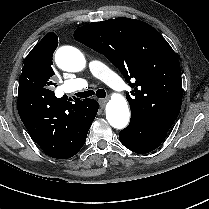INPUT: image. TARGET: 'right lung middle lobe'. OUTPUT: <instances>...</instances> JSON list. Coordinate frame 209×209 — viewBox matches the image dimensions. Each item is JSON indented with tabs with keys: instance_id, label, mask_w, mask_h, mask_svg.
<instances>
[{
	"instance_id": "dd1d6c3e",
	"label": "right lung middle lobe",
	"mask_w": 209,
	"mask_h": 209,
	"mask_svg": "<svg viewBox=\"0 0 209 209\" xmlns=\"http://www.w3.org/2000/svg\"><path fill=\"white\" fill-rule=\"evenodd\" d=\"M52 44L36 45L24 60L19 86H32L41 93L52 96V87L55 83L52 78L55 75L53 70L52 56L55 51Z\"/></svg>"
}]
</instances>
